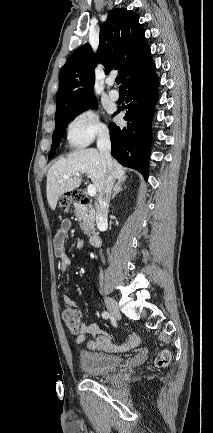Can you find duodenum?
<instances>
[{
  "label": "duodenum",
  "instance_id": "duodenum-1",
  "mask_svg": "<svg viewBox=\"0 0 213 433\" xmlns=\"http://www.w3.org/2000/svg\"><path fill=\"white\" fill-rule=\"evenodd\" d=\"M78 203L82 205H86L89 203L88 198H85L83 200H79ZM90 244L94 247H98L101 245V238L100 235L97 232H92L89 236Z\"/></svg>",
  "mask_w": 213,
  "mask_h": 433
}]
</instances>
